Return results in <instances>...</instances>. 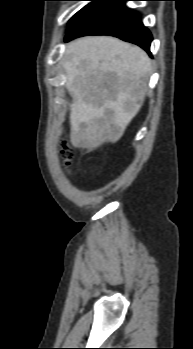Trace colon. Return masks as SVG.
<instances>
[{
    "mask_svg": "<svg viewBox=\"0 0 193 349\" xmlns=\"http://www.w3.org/2000/svg\"><path fill=\"white\" fill-rule=\"evenodd\" d=\"M61 157L63 159L64 165L69 168L72 164L73 153L65 144L61 145Z\"/></svg>",
    "mask_w": 193,
    "mask_h": 349,
    "instance_id": "1",
    "label": "colon"
}]
</instances>
